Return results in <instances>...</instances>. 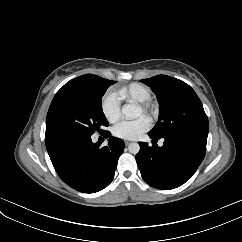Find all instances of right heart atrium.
<instances>
[{
	"mask_svg": "<svg viewBox=\"0 0 242 242\" xmlns=\"http://www.w3.org/2000/svg\"><path fill=\"white\" fill-rule=\"evenodd\" d=\"M101 110L110 123H114L120 118V104L114 93L108 92L104 95L101 101Z\"/></svg>",
	"mask_w": 242,
	"mask_h": 242,
	"instance_id": "d8ad5b80",
	"label": "right heart atrium"
}]
</instances>
